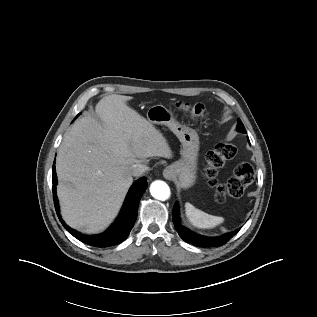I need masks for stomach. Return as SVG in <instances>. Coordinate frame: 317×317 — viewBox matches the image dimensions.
I'll list each match as a JSON object with an SVG mask.
<instances>
[{"mask_svg": "<svg viewBox=\"0 0 317 317\" xmlns=\"http://www.w3.org/2000/svg\"><path fill=\"white\" fill-rule=\"evenodd\" d=\"M147 120L151 124L167 126L182 144L181 158L166 167L171 171L178 188L187 189L196 181L197 157L199 152V136L197 132L181 123L173 113L162 104L151 106L147 111Z\"/></svg>", "mask_w": 317, "mask_h": 317, "instance_id": "1", "label": "stomach"}]
</instances>
